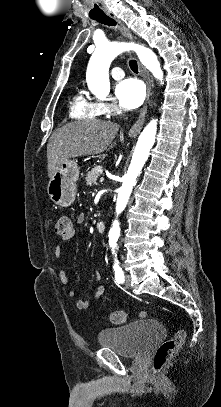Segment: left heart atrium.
Masks as SVG:
<instances>
[{"instance_id":"39dd6f15","label":"left heart atrium","mask_w":221,"mask_h":407,"mask_svg":"<svg viewBox=\"0 0 221 407\" xmlns=\"http://www.w3.org/2000/svg\"><path fill=\"white\" fill-rule=\"evenodd\" d=\"M145 86L136 78H126L115 87V95L125 109L131 110L140 106L145 98Z\"/></svg>"}]
</instances>
